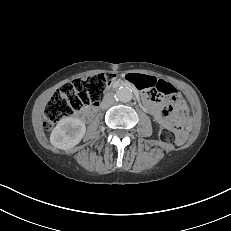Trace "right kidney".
I'll return each instance as SVG.
<instances>
[{
    "label": "right kidney",
    "instance_id": "obj_1",
    "mask_svg": "<svg viewBox=\"0 0 231 231\" xmlns=\"http://www.w3.org/2000/svg\"><path fill=\"white\" fill-rule=\"evenodd\" d=\"M85 132L86 126L80 119L66 117L52 130L50 142L59 149L72 148L81 141Z\"/></svg>",
    "mask_w": 231,
    "mask_h": 231
}]
</instances>
